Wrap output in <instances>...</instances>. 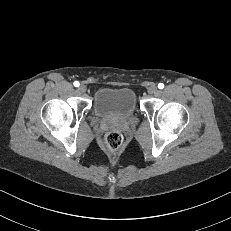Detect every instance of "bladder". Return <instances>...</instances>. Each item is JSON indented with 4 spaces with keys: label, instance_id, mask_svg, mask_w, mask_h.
<instances>
[{
    "label": "bladder",
    "instance_id": "31cf9c89",
    "mask_svg": "<svg viewBox=\"0 0 231 231\" xmlns=\"http://www.w3.org/2000/svg\"><path fill=\"white\" fill-rule=\"evenodd\" d=\"M93 109L105 119L125 120L137 110L136 95L130 88H101L94 96Z\"/></svg>",
    "mask_w": 231,
    "mask_h": 231
}]
</instances>
